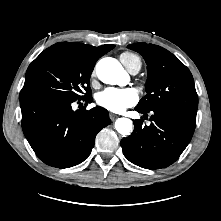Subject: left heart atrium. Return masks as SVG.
Masks as SVG:
<instances>
[{
  "label": "left heart atrium",
  "instance_id": "obj_1",
  "mask_svg": "<svg viewBox=\"0 0 221 221\" xmlns=\"http://www.w3.org/2000/svg\"><path fill=\"white\" fill-rule=\"evenodd\" d=\"M97 104L102 108L121 113L138 101V94L133 88H108L98 93Z\"/></svg>",
  "mask_w": 221,
  "mask_h": 221
}]
</instances>
